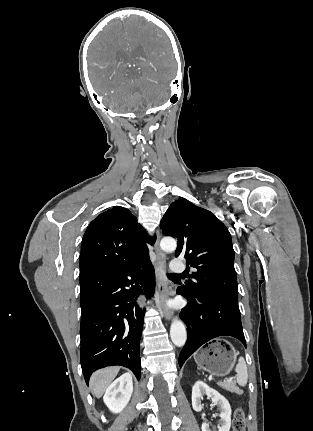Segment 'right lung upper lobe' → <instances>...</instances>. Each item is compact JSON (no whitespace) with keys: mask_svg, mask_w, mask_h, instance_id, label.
Listing matches in <instances>:
<instances>
[{"mask_svg":"<svg viewBox=\"0 0 313 431\" xmlns=\"http://www.w3.org/2000/svg\"><path fill=\"white\" fill-rule=\"evenodd\" d=\"M145 229L127 208L114 206L96 217L87 228L79 257L80 276L113 271L149 257Z\"/></svg>","mask_w":313,"mask_h":431,"instance_id":"1","label":"right lung upper lobe"}]
</instances>
